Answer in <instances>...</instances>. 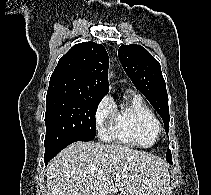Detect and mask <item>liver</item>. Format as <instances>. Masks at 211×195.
I'll use <instances>...</instances> for the list:
<instances>
[{
  "mask_svg": "<svg viewBox=\"0 0 211 195\" xmlns=\"http://www.w3.org/2000/svg\"><path fill=\"white\" fill-rule=\"evenodd\" d=\"M46 176L47 195H114L116 187L123 195H169L165 162L120 144L75 142L48 164Z\"/></svg>",
  "mask_w": 211,
  "mask_h": 195,
  "instance_id": "6515ba94",
  "label": "liver"
}]
</instances>
